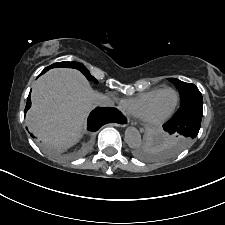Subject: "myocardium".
I'll return each mask as SVG.
<instances>
[{
  "label": "myocardium",
  "instance_id": "obj_1",
  "mask_svg": "<svg viewBox=\"0 0 225 225\" xmlns=\"http://www.w3.org/2000/svg\"><path fill=\"white\" fill-rule=\"evenodd\" d=\"M167 91H172L176 94V103H175L174 107L170 110L169 113H167L162 118H159V119H156V120L150 119L149 118V112L151 110L152 105L154 104L156 99L161 94H163L164 92H167ZM179 104H180V94H179V92L176 89L171 88V87L163 88L150 100V102L146 105L144 111L142 112V114L139 118L141 119L143 124L146 125L147 127L162 126L163 124H165L166 122H168L172 118V116L175 114Z\"/></svg>",
  "mask_w": 225,
  "mask_h": 225
}]
</instances>
